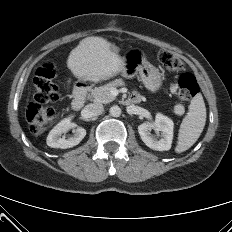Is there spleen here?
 <instances>
[{
	"mask_svg": "<svg viewBox=\"0 0 232 232\" xmlns=\"http://www.w3.org/2000/svg\"><path fill=\"white\" fill-rule=\"evenodd\" d=\"M206 122V107L201 94H197L191 100L189 110L183 119L178 141L175 147L177 153L188 150L201 135Z\"/></svg>",
	"mask_w": 232,
	"mask_h": 232,
	"instance_id": "obj_1",
	"label": "spleen"
}]
</instances>
